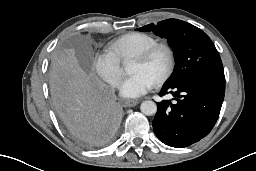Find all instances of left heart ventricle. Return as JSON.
Instances as JSON below:
<instances>
[{
	"label": "left heart ventricle",
	"instance_id": "left-heart-ventricle-1",
	"mask_svg": "<svg viewBox=\"0 0 256 171\" xmlns=\"http://www.w3.org/2000/svg\"><path fill=\"white\" fill-rule=\"evenodd\" d=\"M167 66V57L164 52H159L148 62L133 61L132 73H143L154 83L163 74Z\"/></svg>",
	"mask_w": 256,
	"mask_h": 171
}]
</instances>
